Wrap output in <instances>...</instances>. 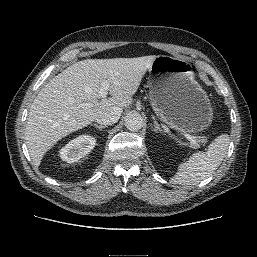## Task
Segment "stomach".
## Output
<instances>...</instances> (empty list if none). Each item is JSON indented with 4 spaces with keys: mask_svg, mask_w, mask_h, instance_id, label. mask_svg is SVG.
Masks as SVG:
<instances>
[{
    "mask_svg": "<svg viewBox=\"0 0 257 257\" xmlns=\"http://www.w3.org/2000/svg\"><path fill=\"white\" fill-rule=\"evenodd\" d=\"M152 103L170 127L197 133L210 127L213 108L206 92L195 79L192 64L167 55L156 56L149 68Z\"/></svg>",
    "mask_w": 257,
    "mask_h": 257,
    "instance_id": "stomach-1",
    "label": "stomach"
}]
</instances>
